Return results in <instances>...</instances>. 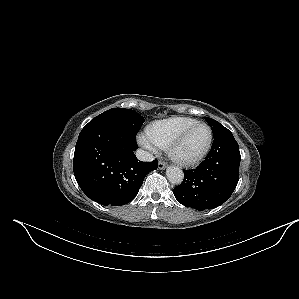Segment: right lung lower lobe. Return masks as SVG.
Wrapping results in <instances>:
<instances>
[{"label": "right lung lower lobe", "instance_id": "right-lung-lower-lobe-1", "mask_svg": "<svg viewBox=\"0 0 299 299\" xmlns=\"http://www.w3.org/2000/svg\"><path fill=\"white\" fill-rule=\"evenodd\" d=\"M136 134L106 118L92 119L80 132L73 170L82 191L101 205L120 206L137 195L145 176L158 162L139 161Z\"/></svg>", "mask_w": 299, "mask_h": 299}]
</instances>
